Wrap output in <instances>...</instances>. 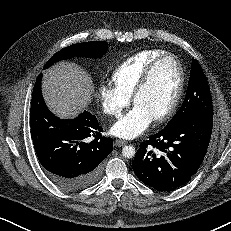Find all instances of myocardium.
<instances>
[{
  "instance_id": "f54148a6",
  "label": "myocardium",
  "mask_w": 231,
  "mask_h": 231,
  "mask_svg": "<svg viewBox=\"0 0 231 231\" xmlns=\"http://www.w3.org/2000/svg\"><path fill=\"white\" fill-rule=\"evenodd\" d=\"M165 59H172L176 62L178 66V84H177V88L174 93V96L172 98V101L170 105L168 106V108L161 115H159L158 117L154 119V121L157 123L168 120L174 114L179 104V101L181 99V96L183 94L184 85H185V72H184V68H183V65L180 59L171 53H164L156 57L155 59H153L143 71L141 78L138 81L132 93V96H131L132 102L133 104H135L138 96L142 93V91L148 85L155 68L160 62H162Z\"/></svg>"
}]
</instances>
